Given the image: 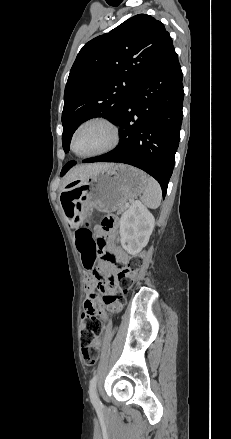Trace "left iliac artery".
Instances as JSON below:
<instances>
[{
    "label": "left iliac artery",
    "instance_id": "left-iliac-artery-1",
    "mask_svg": "<svg viewBox=\"0 0 231 439\" xmlns=\"http://www.w3.org/2000/svg\"><path fill=\"white\" fill-rule=\"evenodd\" d=\"M96 384H97V375H94L93 378L90 380L88 392H89L91 403L96 409H99L102 407V403L97 395Z\"/></svg>",
    "mask_w": 231,
    "mask_h": 439
}]
</instances>
